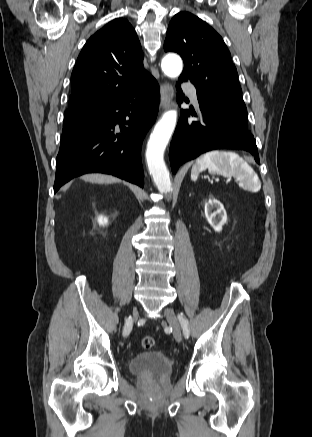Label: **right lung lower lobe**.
<instances>
[{
	"mask_svg": "<svg viewBox=\"0 0 312 437\" xmlns=\"http://www.w3.org/2000/svg\"><path fill=\"white\" fill-rule=\"evenodd\" d=\"M159 101L158 83L147 74L122 96L63 127L54 192L74 177L92 172L143 187L141 145L155 122Z\"/></svg>",
	"mask_w": 312,
	"mask_h": 437,
	"instance_id": "98d812e1",
	"label": "right lung lower lobe"
}]
</instances>
